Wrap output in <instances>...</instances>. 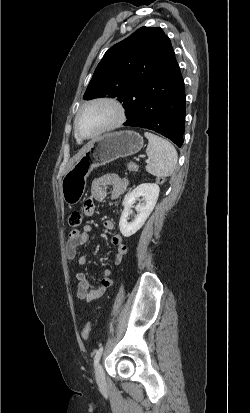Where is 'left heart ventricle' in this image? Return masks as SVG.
<instances>
[{
  "instance_id": "left-heart-ventricle-1",
  "label": "left heart ventricle",
  "mask_w": 250,
  "mask_h": 413,
  "mask_svg": "<svg viewBox=\"0 0 250 413\" xmlns=\"http://www.w3.org/2000/svg\"><path fill=\"white\" fill-rule=\"evenodd\" d=\"M116 117L113 107L107 104H96L87 107L79 117L78 128L82 135L88 136L98 132L111 123Z\"/></svg>"
}]
</instances>
